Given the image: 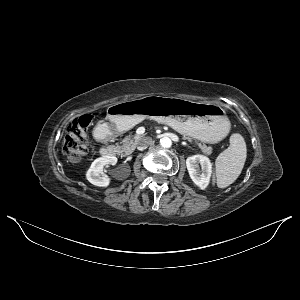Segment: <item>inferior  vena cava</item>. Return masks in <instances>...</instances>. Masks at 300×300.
Segmentation results:
<instances>
[{"label":"inferior vena cava","instance_id":"1","mask_svg":"<svg viewBox=\"0 0 300 300\" xmlns=\"http://www.w3.org/2000/svg\"><path fill=\"white\" fill-rule=\"evenodd\" d=\"M153 143L154 141L152 140L151 137H143L140 139L137 149L142 151L146 149L148 146L152 145Z\"/></svg>","mask_w":300,"mask_h":300}]
</instances>
